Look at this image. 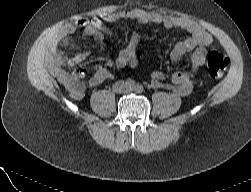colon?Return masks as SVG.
Instances as JSON below:
<instances>
[{
  "label": "colon",
  "instance_id": "1",
  "mask_svg": "<svg viewBox=\"0 0 251 192\" xmlns=\"http://www.w3.org/2000/svg\"><path fill=\"white\" fill-rule=\"evenodd\" d=\"M207 63L210 76L212 78H220L227 69L228 59L217 52H211Z\"/></svg>",
  "mask_w": 251,
  "mask_h": 192
}]
</instances>
